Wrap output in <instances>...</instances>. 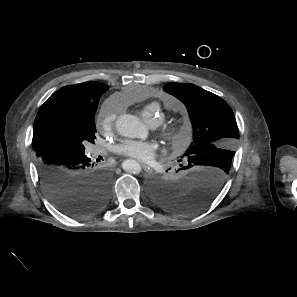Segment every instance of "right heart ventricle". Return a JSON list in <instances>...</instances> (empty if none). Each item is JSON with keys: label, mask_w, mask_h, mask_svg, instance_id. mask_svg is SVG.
<instances>
[{"label": "right heart ventricle", "mask_w": 297, "mask_h": 297, "mask_svg": "<svg viewBox=\"0 0 297 297\" xmlns=\"http://www.w3.org/2000/svg\"><path fill=\"white\" fill-rule=\"evenodd\" d=\"M167 103V102H165ZM161 105L160 102H152L144 106L141 110V116L151 125L157 124L161 119L162 115L157 114L158 108Z\"/></svg>", "instance_id": "right-heart-ventricle-1"}]
</instances>
